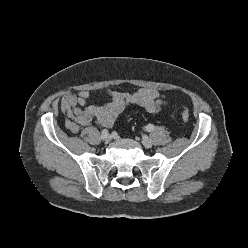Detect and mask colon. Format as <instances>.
<instances>
[{
    "label": "colon",
    "instance_id": "5ec220e1",
    "mask_svg": "<svg viewBox=\"0 0 248 248\" xmlns=\"http://www.w3.org/2000/svg\"><path fill=\"white\" fill-rule=\"evenodd\" d=\"M181 115L184 122H187L189 120V112L187 109L183 108Z\"/></svg>",
    "mask_w": 248,
    "mask_h": 248
}]
</instances>
